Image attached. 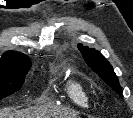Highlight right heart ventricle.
<instances>
[{
  "label": "right heart ventricle",
  "instance_id": "e07e8e85",
  "mask_svg": "<svg viewBox=\"0 0 133 118\" xmlns=\"http://www.w3.org/2000/svg\"><path fill=\"white\" fill-rule=\"evenodd\" d=\"M69 100L80 108H87L90 104V93L86 86L78 79H69L64 86Z\"/></svg>",
  "mask_w": 133,
  "mask_h": 118
}]
</instances>
